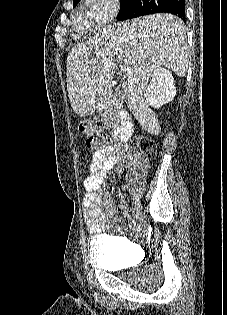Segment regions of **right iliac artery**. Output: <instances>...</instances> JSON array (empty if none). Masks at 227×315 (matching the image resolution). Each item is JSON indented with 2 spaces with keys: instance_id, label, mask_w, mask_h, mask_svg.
Masks as SVG:
<instances>
[{
  "instance_id": "82829eb1",
  "label": "right iliac artery",
  "mask_w": 227,
  "mask_h": 315,
  "mask_svg": "<svg viewBox=\"0 0 227 315\" xmlns=\"http://www.w3.org/2000/svg\"><path fill=\"white\" fill-rule=\"evenodd\" d=\"M139 203V199L137 197L134 198V204L137 205Z\"/></svg>"
}]
</instances>
